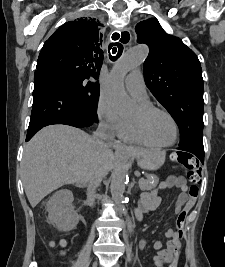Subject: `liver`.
<instances>
[{
	"mask_svg": "<svg viewBox=\"0 0 225 267\" xmlns=\"http://www.w3.org/2000/svg\"><path fill=\"white\" fill-rule=\"evenodd\" d=\"M146 154L131 150L128 157ZM113 152L99 153L96 141L84 131L50 125L40 130L25 146L22 180L26 196L34 208L44 197L65 184L85 183L94 167L112 169ZM145 167L144 161H139Z\"/></svg>",
	"mask_w": 225,
	"mask_h": 267,
	"instance_id": "1",
	"label": "liver"
}]
</instances>
